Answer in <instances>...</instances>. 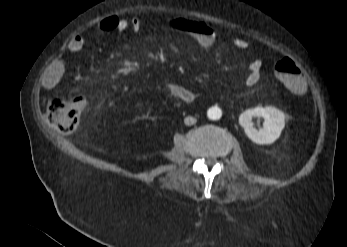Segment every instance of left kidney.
Here are the masks:
<instances>
[{"instance_id": "5707ae66", "label": "left kidney", "mask_w": 347, "mask_h": 247, "mask_svg": "<svg viewBox=\"0 0 347 247\" xmlns=\"http://www.w3.org/2000/svg\"><path fill=\"white\" fill-rule=\"evenodd\" d=\"M264 118L263 128H254L252 118ZM239 124L244 128L245 134L254 143L272 144L276 141L285 127V116L275 107H255L244 111L239 116Z\"/></svg>"}]
</instances>
